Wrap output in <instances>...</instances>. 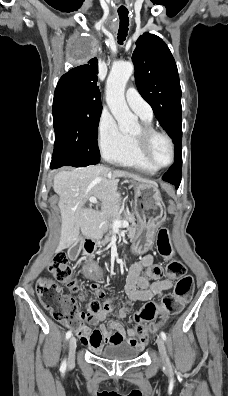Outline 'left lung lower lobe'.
Wrapping results in <instances>:
<instances>
[{"mask_svg": "<svg viewBox=\"0 0 228 396\" xmlns=\"http://www.w3.org/2000/svg\"><path fill=\"white\" fill-rule=\"evenodd\" d=\"M181 167H182V149H181V141H179L175 143L174 164L162 177L164 181L175 185L176 189L179 187L181 182Z\"/></svg>", "mask_w": 228, "mask_h": 396, "instance_id": "obj_1", "label": "left lung lower lobe"}]
</instances>
